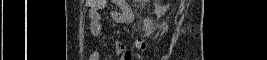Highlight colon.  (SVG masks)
I'll list each match as a JSON object with an SVG mask.
<instances>
[{
    "label": "colon",
    "mask_w": 267,
    "mask_h": 60,
    "mask_svg": "<svg viewBox=\"0 0 267 60\" xmlns=\"http://www.w3.org/2000/svg\"><path fill=\"white\" fill-rule=\"evenodd\" d=\"M96 3H97V1H96ZM137 45H138V47H143L144 46V42L139 40V41H137Z\"/></svg>",
    "instance_id": "5ec220e1"
}]
</instances>
